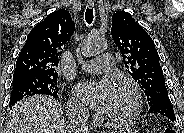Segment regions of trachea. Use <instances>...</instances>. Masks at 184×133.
Here are the masks:
<instances>
[{"label": "trachea", "instance_id": "3493384b", "mask_svg": "<svg viewBox=\"0 0 184 133\" xmlns=\"http://www.w3.org/2000/svg\"><path fill=\"white\" fill-rule=\"evenodd\" d=\"M94 15H93V8H87L85 12V20L88 24H91L93 21Z\"/></svg>", "mask_w": 184, "mask_h": 133}]
</instances>
